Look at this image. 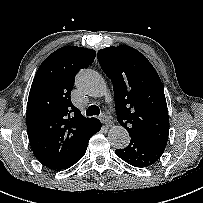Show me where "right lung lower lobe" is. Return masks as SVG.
Masks as SVG:
<instances>
[{
  "label": "right lung lower lobe",
  "mask_w": 203,
  "mask_h": 203,
  "mask_svg": "<svg viewBox=\"0 0 203 203\" xmlns=\"http://www.w3.org/2000/svg\"><path fill=\"white\" fill-rule=\"evenodd\" d=\"M101 126H102V124L98 120V122L96 123V125L94 127L92 135H94L96 132H98L101 129ZM91 136L84 142V144L82 145L81 149L78 151V153L76 154L74 159L69 163V165L65 169L73 166L75 163H77L79 161V159H81L84 156L86 149H87V146H88V141L91 138Z\"/></svg>",
  "instance_id": "1"
}]
</instances>
